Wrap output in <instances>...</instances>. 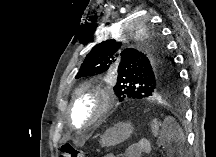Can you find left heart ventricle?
I'll list each match as a JSON object with an SVG mask.
<instances>
[{"mask_svg": "<svg viewBox=\"0 0 216 157\" xmlns=\"http://www.w3.org/2000/svg\"><path fill=\"white\" fill-rule=\"evenodd\" d=\"M96 108V100L92 95L82 97L74 110L73 118L77 126L85 124L93 115Z\"/></svg>", "mask_w": 216, "mask_h": 157, "instance_id": "b2bd125f", "label": "left heart ventricle"}]
</instances>
